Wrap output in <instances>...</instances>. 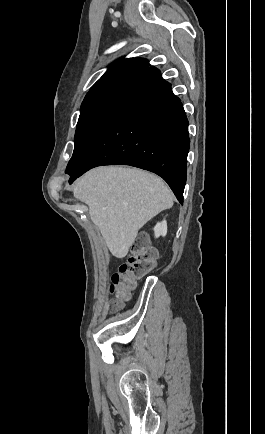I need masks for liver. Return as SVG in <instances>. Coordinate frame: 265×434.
Here are the masks:
<instances>
[{"label":"liver","instance_id":"6515ba94","mask_svg":"<svg viewBox=\"0 0 265 434\" xmlns=\"http://www.w3.org/2000/svg\"><path fill=\"white\" fill-rule=\"evenodd\" d=\"M73 194L87 204L93 224L115 258H125L138 230L173 206L167 184L136 168H94L78 180Z\"/></svg>","mask_w":265,"mask_h":434}]
</instances>
